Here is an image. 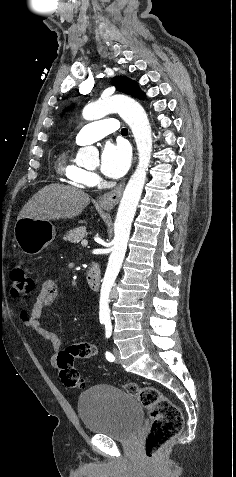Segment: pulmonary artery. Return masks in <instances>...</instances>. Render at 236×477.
<instances>
[{"mask_svg":"<svg viewBox=\"0 0 236 477\" xmlns=\"http://www.w3.org/2000/svg\"><path fill=\"white\" fill-rule=\"evenodd\" d=\"M120 130L119 123L114 118H106L85 125L77 134L76 142L79 145L102 139L108 133Z\"/></svg>","mask_w":236,"mask_h":477,"instance_id":"obj_1","label":"pulmonary artery"}]
</instances>
